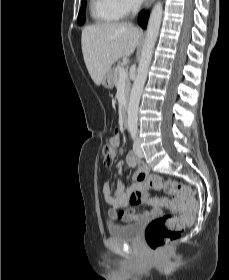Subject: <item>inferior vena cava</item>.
Masks as SVG:
<instances>
[{
    "instance_id": "602c4592",
    "label": "inferior vena cava",
    "mask_w": 229,
    "mask_h": 280,
    "mask_svg": "<svg viewBox=\"0 0 229 280\" xmlns=\"http://www.w3.org/2000/svg\"><path fill=\"white\" fill-rule=\"evenodd\" d=\"M140 3L139 2H134L133 3V14L135 15L139 9Z\"/></svg>"
}]
</instances>
